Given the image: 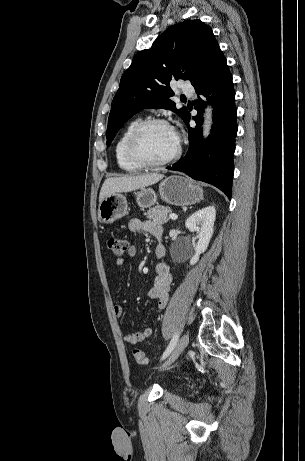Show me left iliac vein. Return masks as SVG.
I'll return each instance as SVG.
<instances>
[{
  "label": "left iliac vein",
  "mask_w": 305,
  "mask_h": 461,
  "mask_svg": "<svg viewBox=\"0 0 305 461\" xmlns=\"http://www.w3.org/2000/svg\"><path fill=\"white\" fill-rule=\"evenodd\" d=\"M189 343V336L188 334H184L176 344L172 354L168 358V360L160 367V369H165L168 367L172 362L176 360V358L180 355V353L187 347Z\"/></svg>",
  "instance_id": "obj_1"
}]
</instances>
